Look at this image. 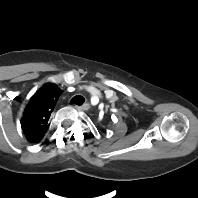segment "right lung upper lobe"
I'll list each match as a JSON object with an SVG mask.
<instances>
[{"mask_svg": "<svg viewBox=\"0 0 198 198\" xmlns=\"http://www.w3.org/2000/svg\"><path fill=\"white\" fill-rule=\"evenodd\" d=\"M62 90L53 83L45 84L27 104L21 119V128L28 141L39 142L48 128V120Z\"/></svg>", "mask_w": 198, "mask_h": 198, "instance_id": "right-lung-upper-lobe-1", "label": "right lung upper lobe"}]
</instances>
